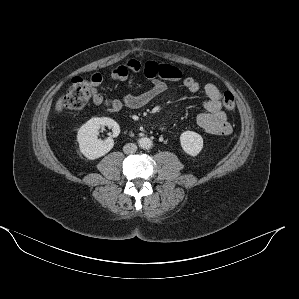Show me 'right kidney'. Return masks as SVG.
I'll return each instance as SVG.
<instances>
[{
	"label": "right kidney",
	"instance_id": "ca27d5eb",
	"mask_svg": "<svg viewBox=\"0 0 299 299\" xmlns=\"http://www.w3.org/2000/svg\"><path fill=\"white\" fill-rule=\"evenodd\" d=\"M102 126H108L112 129V136L105 140L99 139V129ZM120 133V127L113 119L108 117H96L87 121L78 130L77 141L80 152L89 160H95L107 154L114 145L112 137H117Z\"/></svg>",
	"mask_w": 299,
	"mask_h": 299
}]
</instances>
